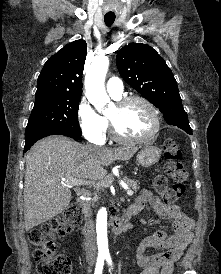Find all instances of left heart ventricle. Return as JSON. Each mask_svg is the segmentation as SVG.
Here are the masks:
<instances>
[{"instance_id":"obj_1","label":"left heart ventricle","mask_w":221,"mask_h":274,"mask_svg":"<svg viewBox=\"0 0 221 274\" xmlns=\"http://www.w3.org/2000/svg\"><path fill=\"white\" fill-rule=\"evenodd\" d=\"M108 116L113 119L119 133L127 138L143 137L152 127L151 114L140 102L130 103L123 108L114 105Z\"/></svg>"}]
</instances>
